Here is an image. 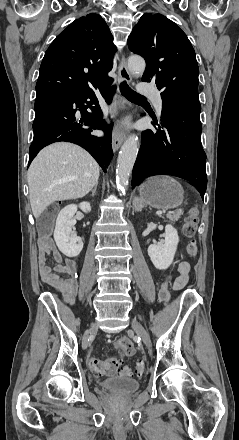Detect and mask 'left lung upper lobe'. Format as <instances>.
Listing matches in <instances>:
<instances>
[{
	"mask_svg": "<svg viewBox=\"0 0 239 440\" xmlns=\"http://www.w3.org/2000/svg\"><path fill=\"white\" fill-rule=\"evenodd\" d=\"M129 49L146 61L142 81L155 80L161 95L198 93L199 68L186 34L162 14H144L128 38Z\"/></svg>",
	"mask_w": 239,
	"mask_h": 440,
	"instance_id": "5c2ea615",
	"label": "left lung upper lobe"
}]
</instances>
